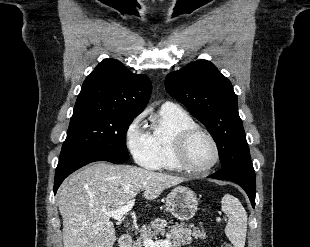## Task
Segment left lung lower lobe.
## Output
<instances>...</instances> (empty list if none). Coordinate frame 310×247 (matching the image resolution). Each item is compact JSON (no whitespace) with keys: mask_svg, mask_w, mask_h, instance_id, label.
<instances>
[{"mask_svg":"<svg viewBox=\"0 0 310 247\" xmlns=\"http://www.w3.org/2000/svg\"><path fill=\"white\" fill-rule=\"evenodd\" d=\"M209 177L237 183L247 193L252 207H255L256 180L254 168L250 159L233 167L222 168Z\"/></svg>","mask_w":310,"mask_h":247,"instance_id":"1","label":"left lung lower lobe"}]
</instances>
